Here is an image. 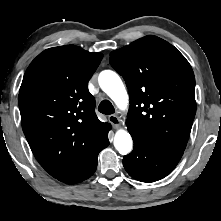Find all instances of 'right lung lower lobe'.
<instances>
[{
	"instance_id": "1",
	"label": "right lung lower lobe",
	"mask_w": 221,
	"mask_h": 221,
	"mask_svg": "<svg viewBox=\"0 0 221 221\" xmlns=\"http://www.w3.org/2000/svg\"><path fill=\"white\" fill-rule=\"evenodd\" d=\"M109 130L110 126L108 127L103 138L88 152L84 159L67 173L57 177V179L67 184H75L84 181L93 175L97 168L99 152L109 145Z\"/></svg>"
}]
</instances>
